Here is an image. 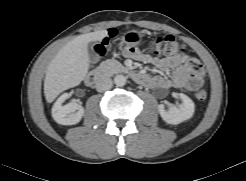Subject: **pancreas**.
Returning a JSON list of instances; mask_svg holds the SVG:
<instances>
[{
	"mask_svg": "<svg viewBox=\"0 0 246 181\" xmlns=\"http://www.w3.org/2000/svg\"><path fill=\"white\" fill-rule=\"evenodd\" d=\"M99 69L106 75H113L127 70L120 62L114 59L103 61L100 64Z\"/></svg>",
	"mask_w": 246,
	"mask_h": 181,
	"instance_id": "1",
	"label": "pancreas"
}]
</instances>
